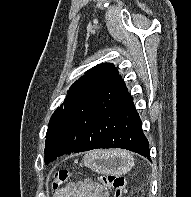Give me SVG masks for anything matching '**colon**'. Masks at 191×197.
Wrapping results in <instances>:
<instances>
[{
    "instance_id": "colon-1",
    "label": "colon",
    "mask_w": 191,
    "mask_h": 197,
    "mask_svg": "<svg viewBox=\"0 0 191 197\" xmlns=\"http://www.w3.org/2000/svg\"><path fill=\"white\" fill-rule=\"evenodd\" d=\"M70 173L67 170H58L54 174L53 188L58 189L70 179ZM102 186L113 191V197H123L125 190V178L118 174H103L99 177Z\"/></svg>"
}]
</instances>
